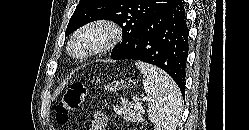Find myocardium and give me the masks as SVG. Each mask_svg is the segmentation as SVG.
I'll use <instances>...</instances> for the list:
<instances>
[{"instance_id":"myocardium-1","label":"myocardium","mask_w":249,"mask_h":130,"mask_svg":"<svg viewBox=\"0 0 249 130\" xmlns=\"http://www.w3.org/2000/svg\"><path fill=\"white\" fill-rule=\"evenodd\" d=\"M91 33L99 34L100 39L82 53L73 52L72 47L74 43ZM122 36V28L115 21L110 19L91 20L72 33L66 45V52L75 60H87L112 49L118 44Z\"/></svg>"}]
</instances>
